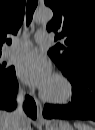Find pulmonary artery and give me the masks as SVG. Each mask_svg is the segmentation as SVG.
Segmentation results:
<instances>
[{
  "instance_id": "e3ab8cb5",
  "label": "pulmonary artery",
  "mask_w": 95,
  "mask_h": 130,
  "mask_svg": "<svg viewBox=\"0 0 95 130\" xmlns=\"http://www.w3.org/2000/svg\"><path fill=\"white\" fill-rule=\"evenodd\" d=\"M50 39L49 34L46 31H37L35 34V41L39 44L48 42ZM33 44L30 40L17 41L15 40L5 50V55L8 57L15 56L21 53H25L32 48Z\"/></svg>"
}]
</instances>
